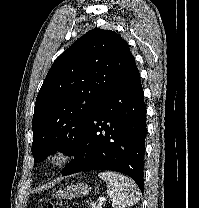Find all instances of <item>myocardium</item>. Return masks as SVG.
Wrapping results in <instances>:
<instances>
[{"label":"myocardium","mask_w":199,"mask_h":208,"mask_svg":"<svg viewBox=\"0 0 199 208\" xmlns=\"http://www.w3.org/2000/svg\"><path fill=\"white\" fill-rule=\"evenodd\" d=\"M72 158L71 150L66 146H57L47 155L48 162L53 166H60L69 162Z\"/></svg>","instance_id":"myocardium-1"}]
</instances>
